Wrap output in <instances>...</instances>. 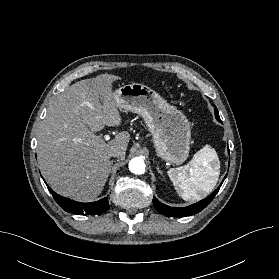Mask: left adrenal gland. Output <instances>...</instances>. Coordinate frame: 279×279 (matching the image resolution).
<instances>
[{"instance_id":"obj_1","label":"left adrenal gland","mask_w":279,"mask_h":279,"mask_svg":"<svg viewBox=\"0 0 279 279\" xmlns=\"http://www.w3.org/2000/svg\"><path fill=\"white\" fill-rule=\"evenodd\" d=\"M157 171L158 173H160L161 175H163L162 171L159 169V167H157Z\"/></svg>"}]
</instances>
